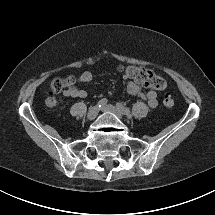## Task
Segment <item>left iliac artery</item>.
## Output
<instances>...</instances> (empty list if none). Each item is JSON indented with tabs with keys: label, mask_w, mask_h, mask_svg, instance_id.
Here are the masks:
<instances>
[{
	"label": "left iliac artery",
	"mask_w": 215,
	"mask_h": 215,
	"mask_svg": "<svg viewBox=\"0 0 215 215\" xmlns=\"http://www.w3.org/2000/svg\"><path fill=\"white\" fill-rule=\"evenodd\" d=\"M116 107L118 110H120L123 114L129 115L130 114V109L125 107L122 103H117Z\"/></svg>",
	"instance_id": "obj_1"
}]
</instances>
